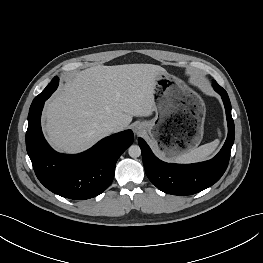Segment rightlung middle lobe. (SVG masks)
Returning <instances> with one entry per match:
<instances>
[{
    "label": "right lung middle lobe",
    "instance_id": "right-lung-middle-lobe-1",
    "mask_svg": "<svg viewBox=\"0 0 263 263\" xmlns=\"http://www.w3.org/2000/svg\"><path fill=\"white\" fill-rule=\"evenodd\" d=\"M58 82H59L58 77H54V78L52 79V81L48 84V86H47L43 91H48V90H50V89H53V91H55V89L58 87ZM43 91H42V92H43ZM37 103H38V97H36V98L33 100L32 104H31V107L34 106V105L37 104Z\"/></svg>",
    "mask_w": 263,
    "mask_h": 263
}]
</instances>
